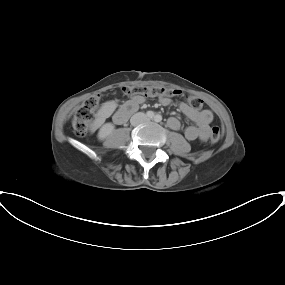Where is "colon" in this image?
<instances>
[{"label":"colon","instance_id":"colon-1","mask_svg":"<svg viewBox=\"0 0 285 285\" xmlns=\"http://www.w3.org/2000/svg\"><path fill=\"white\" fill-rule=\"evenodd\" d=\"M122 93L126 96H144V97H156V96H179L182 95V91L177 88H169L156 85H132L122 88ZM186 100L190 107L196 110H200L203 107V100L194 95H188ZM100 96L93 95L86 99L80 107L75 111L72 118V126L75 132L79 135H84L91 122L95 118V112L99 105ZM221 138V129L219 126H213L210 130V140L212 143H216Z\"/></svg>","mask_w":285,"mask_h":285}]
</instances>
